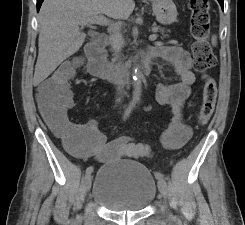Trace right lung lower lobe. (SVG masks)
<instances>
[{
	"label": "right lung lower lobe",
	"mask_w": 245,
	"mask_h": 225,
	"mask_svg": "<svg viewBox=\"0 0 245 225\" xmlns=\"http://www.w3.org/2000/svg\"><path fill=\"white\" fill-rule=\"evenodd\" d=\"M43 1L44 0H37V10H39V8H40V6H41Z\"/></svg>",
	"instance_id": "obj_1"
}]
</instances>
